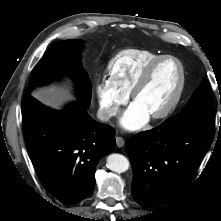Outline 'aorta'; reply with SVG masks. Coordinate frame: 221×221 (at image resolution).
Here are the masks:
<instances>
[{
  "label": "aorta",
  "instance_id": "obj_1",
  "mask_svg": "<svg viewBox=\"0 0 221 221\" xmlns=\"http://www.w3.org/2000/svg\"><path fill=\"white\" fill-rule=\"evenodd\" d=\"M107 167L116 173H123L128 170L129 161L124 155L114 153L107 157Z\"/></svg>",
  "mask_w": 221,
  "mask_h": 221
}]
</instances>
